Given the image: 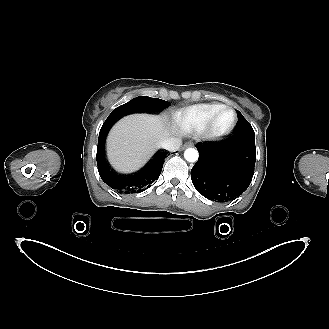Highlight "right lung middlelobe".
<instances>
[{"instance_id": "dd1d6c3e", "label": "right lung middle lobe", "mask_w": 329, "mask_h": 329, "mask_svg": "<svg viewBox=\"0 0 329 329\" xmlns=\"http://www.w3.org/2000/svg\"><path fill=\"white\" fill-rule=\"evenodd\" d=\"M168 105L169 103L167 101L158 98L139 96L114 109L106 120L115 121L125 114L136 111L160 112L168 107Z\"/></svg>"}]
</instances>
